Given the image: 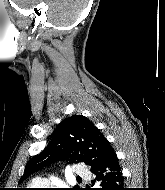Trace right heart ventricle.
<instances>
[{
	"mask_svg": "<svg viewBox=\"0 0 165 190\" xmlns=\"http://www.w3.org/2000/svg\"><path fill=\"white\" fill-rule=\"evenodd\" d=\"M45 183L44 182H36V183H34V185L36 186H39V185H44Z\"/></svg>",
	"mask_w": 165,
	"mask_h": 190,
	"instance_id": "right-heart-ventricle-1",
	"label": "right heart ventricle"
}]
</instances>
